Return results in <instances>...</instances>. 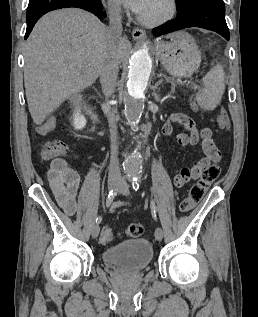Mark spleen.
<instances>
[{"label": "spleen", "instance_id": "1", "mask_svg": "<svg viewBox=\"0 0 258 317\" xmlns=\"http://www.w3.org/2000/svg\"><path fill=\"white\" fill-rule=\"evenodd\" d=\"M205 88L196 94V100L204 110H214L224 94V70L221 64L213 66L202 78Z\"/></svg>", "mask_w": 258, "mask_h": 317}]
</instances>
